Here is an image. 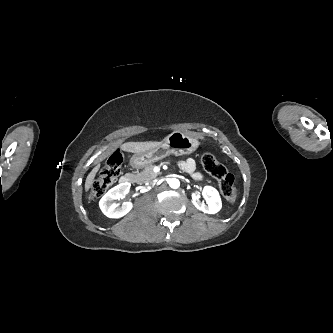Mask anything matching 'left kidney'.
Masks as SVG:
<instances>
[{
	"label": "left kidney",
	"instance_id": "left-kidney-1",
	"mask_svg": "<svg viewBox=\"0 0 333 333\" xmlns=\"http://www.w3.org/2000/svg\"><path fill=\"white\" fill-rule=\"evenodd\" d=\"M201 193L206 200V204L200 201L199 192H194L192 193V201L195 207L207 214L219 212L222 207L219 192L211 186H205Z\"/></svg>",
	"mask_w": 333,
	"mask_h": 333
}]
</instances>
